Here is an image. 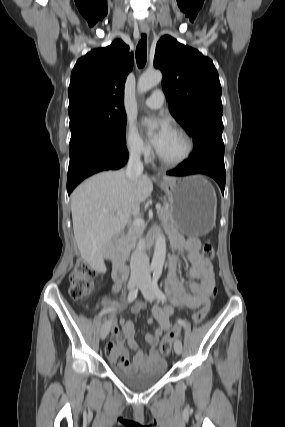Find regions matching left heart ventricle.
I'll return each instance as SVG.
<instances>
[{
    "label": "left heart ventricle",
    "mask_w": 285,
    "mask_h": 427,
    "mask_svg": "<svg viewBox=\"0 0 285 427\" xmlns=\"http://www.w3.org/2000/svg\"><path fill=\"white\" fill-rule=\"evenodd\" d=\"M185 149L186 144L183 138L179 134L171 131L157 152L164 159L176 160L184 154Z\"/></svg>",
    "instance_id": "b2bd125f"
}]
</instances>
